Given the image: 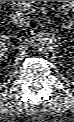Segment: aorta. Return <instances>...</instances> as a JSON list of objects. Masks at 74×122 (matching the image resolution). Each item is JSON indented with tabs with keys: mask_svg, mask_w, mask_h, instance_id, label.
Segmentation results:
<instances>
[{
	"mask_svg": "<svg viewBox=\"0 0 74 122\" xmlns=\"http://www.w3.org/2000/svg\"><path fill=\"white\" fill-rule=\"evenodd\" d=\"M37 41L38 50L42 53H50L58 46L57 38L49 32H40Z\"/></svg>",
	"mask_w": 74,
	"mask_h": 122,
	"instance_id": "aorta-1",
	"label": "aorta"
}]
</instances>
